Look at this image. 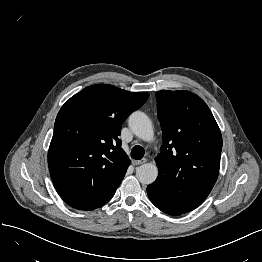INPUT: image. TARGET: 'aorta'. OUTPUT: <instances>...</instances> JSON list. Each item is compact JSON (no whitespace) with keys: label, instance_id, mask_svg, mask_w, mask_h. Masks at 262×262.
Wrapping results in <instances>:
<instances>
[{"label":"aorta","instance_id":"762f6f07","mask_svg":"<svg viewBox=\"0 0 262 262\" xmlns=\"http://www.w3.org/2000/svg\"><path fill=\"white\" fill-rule=\"evenodd\" d=\"M129 127L132 132L144 141H151L154 136L153 125L149 117L141 112L135 111L129 116ZM158 176L156 164L145 163L136 170V177L142 184H152Z\"/></svg>","mask_w":262,"mask_h":262}]
</instances>
